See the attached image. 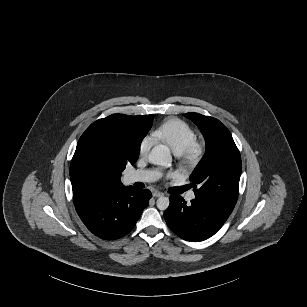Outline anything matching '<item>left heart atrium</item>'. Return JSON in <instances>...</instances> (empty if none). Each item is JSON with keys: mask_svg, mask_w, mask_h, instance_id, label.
<instances>
[{"mask_svg": "<svg viewBox=\"0 0 307 307\" xmlns=\"http://www.w3.org/2000/svg\"><path fill=\"white\" fill-rule=\"evenodd\" d=\"M161 178H166V177H173L175 175H177V172L173 169H169V168H160L158 170Z\"/></svg>", "mask_w": 307, "mask_h": 307, "instance_id": "39dd6f15", "label": "left heart atrium"}]
</instances>
